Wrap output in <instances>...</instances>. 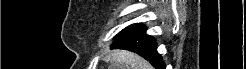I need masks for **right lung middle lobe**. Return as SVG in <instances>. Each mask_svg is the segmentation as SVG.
Wrapping results in <instances>:
<instances>
[{"instance_id": "right-lung-middle-lobe-1", "label": "right lung middle lobe", "mask_w": 246, "mask_h": 69, "mask_svg": "<svg viewBox=\"0 0 246 69\" xmlns=\"http://www.w3.org/2000/svg\"><path fill=\"white\" fill-rule=\"evenodd\" d=\"M137 25H138V24H133V25H131V26L126 27V28L123 29L116 37H118V36L124 34L125 32L129 31L130 29L134 28V27L137 26Z\"/></svg>"}]
</instances>
